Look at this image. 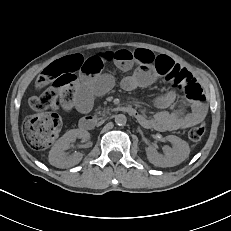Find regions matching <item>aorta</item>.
Masks as SVG:
<instances>
[{"label":"aorta","instance_id":"1","mask_svg":"<svg viewBox=\"0 0 231 231\" xmlns=\"http://www.w3.org/2000/svg\"><path fill=\"white\" fill-rule=\"evenodd\" d=\"M127 122V118L124 114H118L115 116V123L119 126L125 125Z\"/></svg>","mask_w":231,"mask_h":231}]
</instances>
